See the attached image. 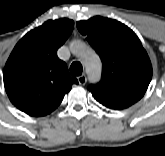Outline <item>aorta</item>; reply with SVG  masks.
I'll return each mask as SVG.
<instances>
[{
	"label": "aorta",
	"mask_w": 165,
	"mask_h": 156,
	"mask_svg": "<svg viewBox=\"0 0 165 156\" xmlns=\"http://www.w3.org/2000/svg\"><path fill=\"white\" fill-rule=\"evenodd\" d=\"M70 50L82 60L90 81H98L101 76V61L98 55L82 41H73Z\"/></svg>",
	"instance_id": "aorta-1"
}]
</instances>
